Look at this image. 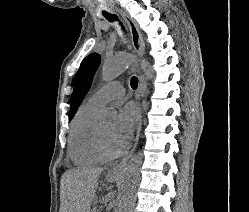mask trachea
<instances>
[{
    "instance_id": "1",
    "label": "trachea",
    "mask_w": 249,
    "mask_h": 212,
    "mask_svg": "<svg viewBox=\"0 0 249 212\" xmlns=\"http://www.w3.org/2000/svg\"><path fill=\"white\" fill-rule=\"evenodd\" d=\"M105 16V18H107V20L109 21H114V20H118V18L116 17V15H112V14H109V13H104L103 14ZM122 26V24H121ZM130 85L133 89H136L137 86H138V79L137 77H132L131 80H130Z\"/></svg>"
}]
</instances>
